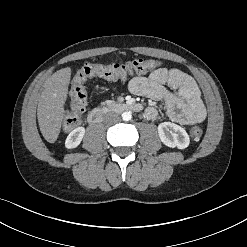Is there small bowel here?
Wrapping results in <instances>:
<instances>
[{
    "instance_id": "obj_1",
    "label": "small bowel",
    "mask_w": 247,
    "mask_h": 247,
    "mask_svg": "<svg viewBox=\"0 0 247 247\" xmlns=\"http://www.w3.org/2000/svg\"><path fill=\"white\" fill-rule=\"evenodd\" d=\"M129 90L138 96L164 101L168 116L177 123L191 125L205 119L206 111L196 82L179 69L159 68L148 76L135 77L129 82ZM145 116L149 120H156L159 112L150 106Z\"/></svg>"
}]
</instances>
